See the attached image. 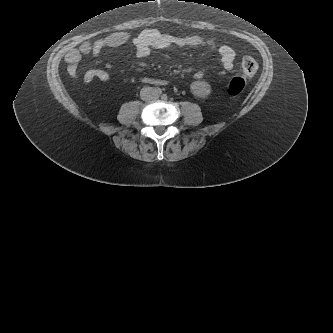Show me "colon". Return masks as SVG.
<instances>
[{
	"mask_svg": "<svg viewBox=\"0 0 333 333\" xmlns=\"http://www.w3.org/2000/svg\"><path fill=\"white\" fill-rule=\"evenodd\" d=\"M256 69V62L250 57H245L242 62V73L234 77L228 84V94L231 96L240 94L245 87L246 80L254 74Z\"/></svg>",
	"mask_w": 333,
	"mask_h": 333,
	"instance_id": "colon-1",
	"label": "colon"
}]
</instances>
